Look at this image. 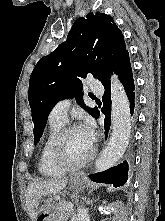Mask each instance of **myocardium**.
Listing matches in <instances>:
<instances>
[{
    "label": "myocardium",
    "mask_w": 165,
    "mask_h": 221,
    "mask_svg": "<svg viewBox=\"0 0 165 221\" xmlns=\"http://www.w3.org/2000/svg\"><path fill=\"white\" fill-rule=\"evenodd\" d=\"M76 129H80V128L78 125H75V124H70V125L62 127L60 131L57 133V135L55 136L53 144H52L51 154H52V159H53L54 164L58 168L66 170V171H72V170H77V169L82 168L93 159L95 152H96L95 146L94 144H92L90 152L81 161L70 162L65 158L63 154L64 140L70 132Z\"/></svg>",
    "instance_id": "1"
}]
</instances>
